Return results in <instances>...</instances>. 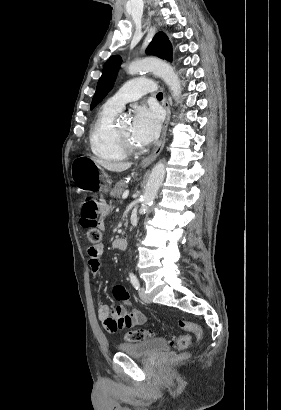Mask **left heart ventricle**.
Here are the masks:
<instances>
[{"label":"left heart ventricle","mask_w":281,"mask_h":410,"mask_svg":"<svg viewBox=\"0 0 281 410\" xmlns=\"http://www.w3.org/2000/svg\"><path fill=\"white\" fill-rule=\"evenodd\" d=\"M118 129L123 135H125L126 137H128L132 141V139H131V125L130 124H125V125L119 127ZM132 142L135 143L134 141H132Z\"/></svg>","instance_id":"left-heart-ventricle-1"}]
</instances>
